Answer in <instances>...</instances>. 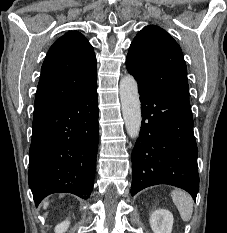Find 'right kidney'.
Returning <instances> with one entry per match:
<instances>
[{"instance_id":"1","label":"right kidney","mask_w":227,"mask_h":233,"mask_svg":"<svg viewBox=\"0 0 227 233\" xmlns=\"http://www.w3.org/2000/svg\"><path fill=\"white\" fill-rule=\"evenodd\" d=\"M69 225H70V222L68 220L63 221L62 223L58 224L55 227V233H65V231H67Z\"/></svg>"}]
</instances>
